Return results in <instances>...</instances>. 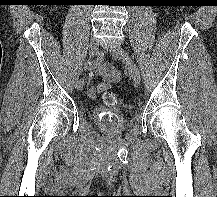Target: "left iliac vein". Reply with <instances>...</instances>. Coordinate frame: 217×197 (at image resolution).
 Masks as SVG:
<instances>
[{"label":"left iliac vein","mask_w":217,"mask_h":197,"mask_svg":"<svg viewBox=\"0 0 217 197\" xmlns=\"http://www.w3.org/2000/svg\"><path fill=\"white\" fill-rule=\"evenodd\" d=\"M110 53L126 65L128 75L132 78L136 85H139L140 73L129 53L122 46L112 48Z\"/></svg>","instance_id":"1"}]
</instances>
